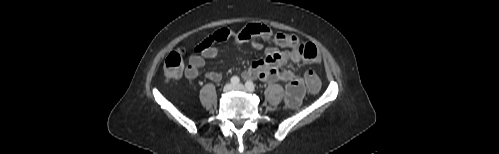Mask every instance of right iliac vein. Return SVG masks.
<instances>
[{
    "label": "right iliac vein",
    "instance_id": "right-iliac-vein-1",
    "mask_svg": "<svg viewBox=\"0 0 499 154\" xmlns=\"http://www.w3.org/2000/svg\"><path fill=\"white\" fill-rule=\"evenodd\" d=\"M232 90H234V85H233V84H231V83L226 84V85L224 86V88H223V91H224V92H226V93H227V92H230V91H232Z\"/></svg>",
    "mask_w": 499,
    "mask_h": 154
}]
</instances>
